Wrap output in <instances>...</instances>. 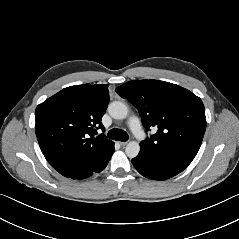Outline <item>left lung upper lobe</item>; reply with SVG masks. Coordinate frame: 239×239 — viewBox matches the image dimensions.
<instances>
[{
  "label": "left lung upper lobe",
  "mask_w": 239,
  "mask_h": 239,
  "mask_svg": "<svg viewBox=\"0 0 239 239\" xmlns=\"http://www.w3.org/2000/svg\"><path fill=\"white\" fill-rule=\"evenodd\" d=\"M116 92L138 109L147 130L158 128L140 143V151L186 168L206 129L201 99L183 87L159 80L130 81Z\"/></svg>",
  "instance_id": "obj_1"
}]
</instances>
